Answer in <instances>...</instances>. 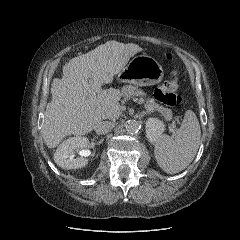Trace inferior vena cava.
I'll use <instances>...</instances> for the list:
<instances>
[{
  "label": "inferior vena cava",
  "instance_id": "602c4592",
  "mask_svg": "<svg viewBox=\"0 0 240 240\" xmlns=\"http://www.w3.org/2000/svg\"><path fill=\"white\" fill-rule=\"evenodd\" d=\"M114 124L111 121H99L94 126V131L98 135L106 134L108 133L112 128Z\"/></svg>",
  "mask_w": 240,
  "mask_h": 240
}]
</instances>
